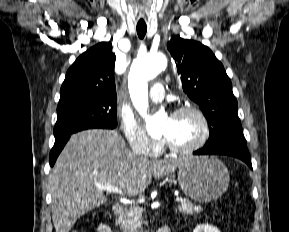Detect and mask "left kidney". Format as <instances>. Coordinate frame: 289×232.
I'll list each match as a JSON object with an SVG mask.
<instances>
[{
  "label": "left kidney",
  "mask_w": 289,
  "mask_h": 232,
  "mask_svg": "<svg viewBox=\"0 0 289 232\" xmlns=\"http://www.w3.org/2000/svg\"><path fill=\"white\" fill-rule=\"evenodd\" d=\"M193 232H220L217 228L209 224H201L195 227Z\"/></svg>",
  "instance_id": "left-kidney-1"
}]
</instances>
